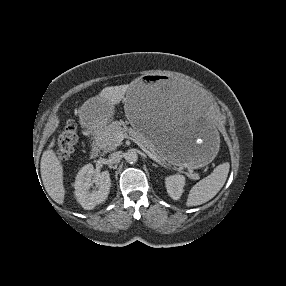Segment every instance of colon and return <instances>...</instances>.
Here are the masks:
<instances>
[{
	"label": "colon",
	"instance_id": "5ec220e1",
	"mask_svg": "<svg viewBox=\"0 0 286 286\" xmlns=\"http://www.w3.org/2000/svg\"><path fill=\"white\" fill-rule=\"evenodd\" d=\"M77 141L76 125L72 119H68L56 140L57 156L62 160L70 157L75 150Z\"/></svg>",
	"mask_w": 286,
	"mask_h": 286
}]
</instances>
